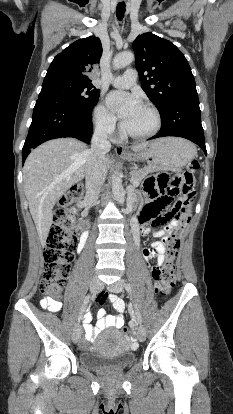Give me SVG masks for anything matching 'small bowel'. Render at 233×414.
Listing matches in <instances>:
<instances>
[{
	"label": "small bowel",
	"mask_w": 233,
	"mask_h": 414,
	"mask_svg": "<svg viewBox=\"0 0 233 414\" xmlns=\"http://www.w3.org/2000/svg\"><path fill=\"white\" fill-rule=\"evenodd\" d=\"M145 194L149 200V203L143 208L138 218L140 223V232L143 236H147L151 233L152 227L162 225V228L154 232L153 236L156 238H163L166 234L176 229L179 223L176 219H172V217H170L168 214L160 215L159 218L152 217L149 213L148 207L153 201V198L149 194ZM86 239L87 234L83 233L81 236L79 251L83 249ZM143 257L147 262L154 257L157 258V266L152 268V276L154 279H157V271L160 269V266L165 262L164 242H157L151 248L144 249ZM106 300H108L112 304L115 314H107V312L103 308H101L97 313L98 320L96 326L94 327L90 324L92 320V315L89 312H86L83 315L85 339L88 342H92L96 335L105 328H121L124 325V301L113 294L108 295L105 293H100L97 297V301L100 304H103ZM40 304L44 309H47L51 312H58L62 307V304L59 301L51 298H42ZM127 310L132 314L134 310V305L128 304Z\"/></svg>",
	"instance_id": "small-bowel-1"
}]
</instances>
